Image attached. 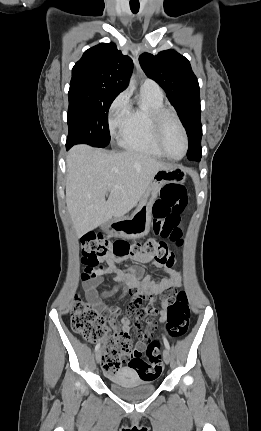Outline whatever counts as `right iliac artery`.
<instances>
[{"instance_id":"82829eb1","label":"right iliac artery","mask_w":261,"mask_h":431,"mask_svg":"<svg viewBox=\"0 0 261 431\" xmlns=\"http://www.w3.org/2000/svg\"><path fill=\"white\" fill-rule=\"evenodd\" d=\"M99 348H100V343H98V344L96 345V347H95V352H97V351L99 350Z\"/></svg>"}]
</instances>
